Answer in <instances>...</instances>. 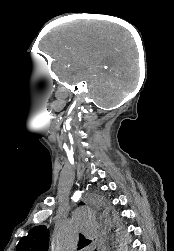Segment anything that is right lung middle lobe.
I'll return each mask as SVG.
<instances>
[{
	"mask_svg": "<svg viewBox=\"0 0 174 251\" xmlns=\"http://www.w3.org/2000/svg\"><path fill=\"white\" fill-rule=\"evenodd\" d=\"M102 216L104 217V225L107 229L111 228L117 222L116 215L110 213L108 209L102 211Z\"/></svg>",
	"mask_w": 174,
	"mask_h": 251,
	"instance_id": "right-lung-middle-lobe-1",
	"label": "right lung middle lobe"
}]
</instances>
